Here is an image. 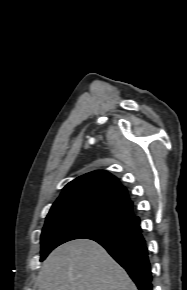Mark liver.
Masks as SVG:
<instances>
[{
  "mask_svg": "<svg viewBox=\"0 0 187 290\" xmlns=\"http://www.w3.org/2000/svg\"><path fill=\"white\" fill-rule=\"evenodd\" d=\"M37 283L38 290H138L107 251L88 239L69 241L53 250Z\"/></svg>",
  "mask_w": 187,
  "mask_h": 290,
  "instance_id": "obj_1",
  "label": "liver"
}]
</instances>
